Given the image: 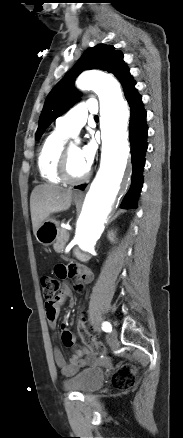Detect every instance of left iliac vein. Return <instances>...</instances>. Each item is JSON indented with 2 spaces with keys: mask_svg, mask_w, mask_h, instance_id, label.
Wrapping results in <instances>:
<instances>
[{
  "mask_svg": "<svg viewBox=\"0 0 183 438\" xmlns=\"http://www.w3.org/2000/svg\"><path fill=\"white\" fill-rule=\"evenodd\" d=\"M116 339H117V332L115 329H113V331L108 336V340L110 341V343L114 344L116 342Z\"/></svg>",
  "mask_w": 183,
  "mask_h": 438,
  "instance_id": "4c4485c4",
  "label": "left iliac vein"
}]
</instances>
